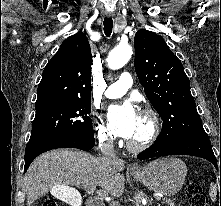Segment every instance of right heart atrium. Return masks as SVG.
<instances>
[{
	"label": "right heart atrium",
	"instance_id": "right-heart-atrium-1",
	"mask_svg": "<svg viewBox=\"0 0 221 206\" xmlns=\"http://www.w3.org/2000/svg\"><path fill=\"white\" fill-rule=\"evenodd\" d=\"M96 136L99 143L103 146L110 147L114 143V137L107 127L98 123L96 126Z\"/></svg>",
	"mask_w": 221,
	"mask_h": 206
}]
</instances>
